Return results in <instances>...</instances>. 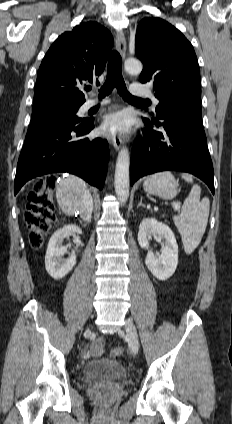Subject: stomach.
Listing matches in <instances>:
<instances>
[{
    "instance_id": "0dacf381",
    "label": "stomach",
    "mask_w": 232,
    "mask_h": 424,
    "mask_svg": "<svg viewBox=\"0 0 232 424\" xmlns=\"http://www.w3.org/2000/svg\"><path fill=\"white\" fill-rule=\"evenodd\" d=\"M143 189L147 193L162 199H172L178 193V183L170 172L165 171L146 178Z\"/></svg>"
}]
</instances>
